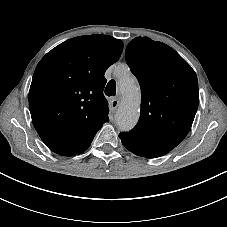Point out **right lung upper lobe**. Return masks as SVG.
<instances>
[{"mask_svg": "<svg viewBox=\"0 0 227 227\" xmlns=\"http://www.w3.org/2000/svg\"><path fill=\"white\" fill-rule=\"evenodd\" d=\"M122 50L123 42L112 36H79L61 43L38 63L29 108L39 136L53 152L83 153L108 122L104 74Z\"/></svg>", "mask_w": 227, "mask_h": 227, "instance_id": "cb5924a9", "label": "right lung upper lobe"}]
</instances>
